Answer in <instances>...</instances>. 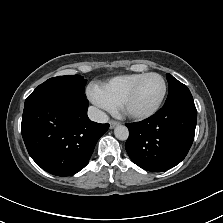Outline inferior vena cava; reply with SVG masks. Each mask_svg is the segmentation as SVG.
<instances>
[{
	"label": "inferior vena cava",
	"mask_w": 223,
	"mask_h": 223,
	"mask_svg": "<svg viewBox=\"0 0 223 223\" xmlns=\"http://www.w3.org/2000/svg\"><path fill=\"white\" fill-rule=\"evenodd\" d=\"M88 117L90 120L98 123H106L109 120L108 115L94 106L88 108Z\"/></svg>",
	"instance_id": "inferior-vena-cava-1"
}]
</instances>
